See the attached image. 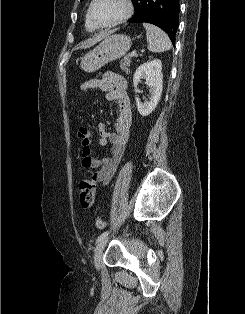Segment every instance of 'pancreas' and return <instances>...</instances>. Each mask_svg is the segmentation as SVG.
<instances>
[{
  "instance_id": "cf45deb5",
  "label": "pancreas",
  "mask_w": 245,
  "mask_h": 314,
  "mask_svg": "<svg viewBox=\"0 0 245 314\" xmlns=\"http://www.w3.org/2000/svg\"><path fill=\"white\" fill-rule=\"evenodd\" d=\"M130 64H131V58L129 57V55H127L121 61L120 68L123 71H125L126 73H129L130 72V70H129Z\"/></svg>"
}]
</instances>
